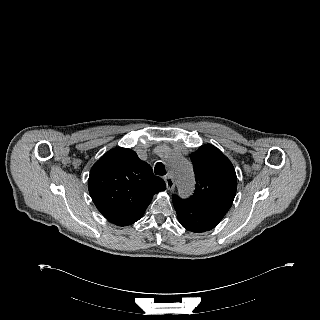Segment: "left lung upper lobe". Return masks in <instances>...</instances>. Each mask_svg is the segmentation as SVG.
<instances>
[{
  "mask_svg": "<svg viewBox=\"0 0 320 320\" xmlns=\"http://www.w3.org/2000/svg\"><path fill=\"white\" fill-rule=\"evenodd\" d=\"M190 158L195 173L196 189L186 201L226 214L237 189V177L232 163L211 144L199 147Z\"/></svg>",
  "mask_w": 320,
  "mask_h": 320,
  "instance_id": "left-lung-upper-lobe-1",
  "label": "left lung upper lobe"
}]
</instances>
